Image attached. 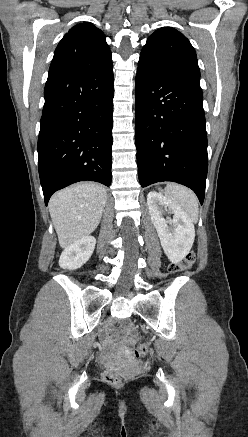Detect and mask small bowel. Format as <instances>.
Segmentation results:
<instances>
[{
  "mask_svg": "<svg viewBox=\"0 0 248 437\" xmlns=\"http://www.w3.org/2000/svg\"><path fill=\"white\" fill-rule=\"evenodd\" d=\"M117 336L121 339L123 345H130L134 342L127 325L121 327Z\"/></svg>",
  "mask_w": 248,
  "mask_h": 437,
  "instance_id": "small-bowel-1",
  "label": "small bowel"
}]
</instances>
